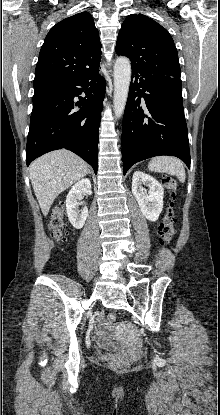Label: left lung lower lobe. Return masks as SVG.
<instances>
[{
  "instance_id": "1",
  "label": "left lung lower lobe",
  "mask_w": 220,
  "mask_h": 415,
  "mask_svg": "<svg viewBox=\"0 0 220 415\" xmlns=\"http://www.w3.org/2000/svg\"><path fill=\"white\" fill-rule=\"evenodd\" d=\"M170 155L190 168L180 77L132 68L122 125L123 173L141 160Z\"/></svg>"
}]
</instances>
